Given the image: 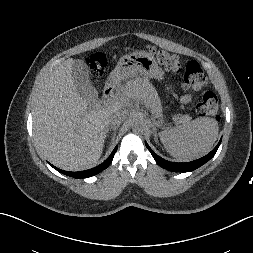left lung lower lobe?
Listing matches in <instances>:
<instances>
[{"label": "left lung lower lobe", "instance_id": "0a47b994", "mask_svg": "<svg viewBox=\"0 0 253 253\" xmlns=\"http://www.w3.org/2000/svg\"><path fill=\"white\" fill-rule=\"evenodd\" d=\"M222 140V139H221ZM221 140L219 141V143L216 145V147L206 156L197 159L195 161L192 162H187V163H174V162H170L167 160L162 159L161 157H159L150 147L149 145L146 143V147L147 149L150 151V153L152 154L153 158L155 159V161L163 168L170 170V171H174V172H190L193 171L197 168H199L200 166H202L203 164H205L207 161H209L217 152Z\"/></svg>", "mask_w": 253, "mask_h": 253}]
</instances>
